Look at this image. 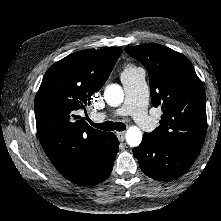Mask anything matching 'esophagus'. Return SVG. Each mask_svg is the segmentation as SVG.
<instances>
[{"instance_id": "34e87169", "label": "esophagus", "mask_w": 221, "mask_h": 221, "mask_svg": "<svg viewBox=\"0 0 221 221\" xmlns=\"http://www.w3.org/2000/svg\"><path fill=\"white\" fill-rule=\"evenodd\" d=\"M117 138L120 142H123L125 139V133L124 132H116Z\"/></svg>"}]
</instances>
